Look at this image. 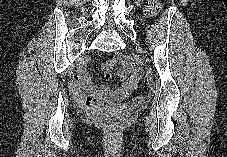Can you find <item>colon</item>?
I'll return each mask as SVG.
<instances>
[{
  "mask_svg": "<svg viewBox=\"0 0 227 157\" xmlns=\"http://www.w3.org/2000/svg\"><path fill=\"white\" fill-rule=\"evenodd\" d=\"M146 12L150 16H156L162 8V5L159 0H146ZM147 97L144 95H137L133 98L132 103L136 107H142L147 103ZM112 125H115V122H111Z\"/></svg>",
  "mask_w": 227,
  "mask_h": 157,
  "instance_id": "colon-1",
  "label": "colon"
}]
</instances>
